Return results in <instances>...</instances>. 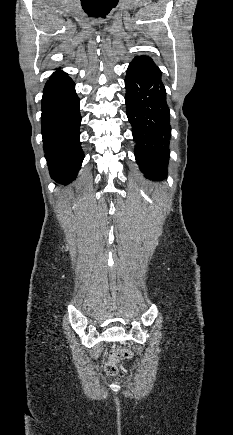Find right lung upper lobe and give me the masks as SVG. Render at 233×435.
<instances>
[{"label": "right lung upper lobe", "instance_id": "obj_1", "mask_svg": "<svg viewBox=\"0 0 233 435\" xmlns=\"http://www.w3.org/2000/svg\"><path fill=\"white\" fill-rule=\"evenodd\" d=\"M58 70H59V69H58ZM62 74H64L62 71H57L56 73H54V74L51 76L50 80H52V79H54V78H57V77L61 76ZM50 80H48V81H50Z\"/></svg>", "mask_w": 233, "mask_h": 435}]
</instances>
